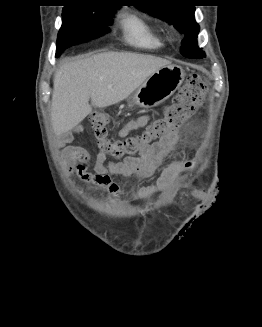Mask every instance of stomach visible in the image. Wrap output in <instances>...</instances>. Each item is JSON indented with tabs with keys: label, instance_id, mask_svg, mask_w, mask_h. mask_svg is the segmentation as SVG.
Returning <instances> with one entry per match:
<instances>
[{
	"label": "stomach",
	"instance_id": "stomach-1",
	"mask_svg": "<svg viewBox=\"0 0 262 327\" xmlns=\"http://www.w3.org/2000/svg\"><path fill=\"white\" fill-rule=\"evenodd\" d=\"M185 78L182 67L163 66L151 74L130 97V102L142 108H152L166 101L181 86Z\"/></svg>",
	"mask_w": 262,
	"mask_h": 327
}]
</instances>
